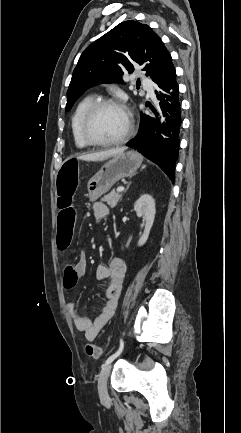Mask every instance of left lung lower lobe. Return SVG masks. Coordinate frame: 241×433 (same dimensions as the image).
Returning <instances> with one entry per match:
<instances>
[{"instance_id":"0a47b994","label":"left lung lower lobe","mask_w":241,"mask_h":433,"mask_svg":"<svg viewBox=\"0 0 241 433\" xmlns=\"http://www.w3.org/2000/svg\"><path fill=\"white\" fill-rule=\"evenodd\" d=\"M155 95L157 106L149 105L154 115L141 112L138 134L126 145L156 163L174 181L180 146L181 101L173 64L156 82Z\"/></svg>"}]
</instances>
